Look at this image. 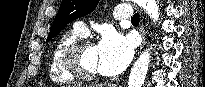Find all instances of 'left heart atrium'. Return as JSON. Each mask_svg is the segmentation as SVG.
<instances>
[{
  "label": "left heart atrium",
  "mask_w": 205,
  "mask_h": 87,
  "mask_svg": "<svg viewBox=\"0 0 205 87\" xmlns=\"http://www.w3.org/2000/svg\"><path fill=\"white\" fill-rule=\"evenodd\" d=\"M96 53L98 72L103 75H117L130 63L134 44L130 37L108 31L96 46Z\"/></svg>",
  "instance_id": "1"
}]
</instances>
